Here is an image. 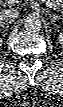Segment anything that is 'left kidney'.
<instances>
[{"label":"left kidney","instance_id":"obj_1","mask_svg":"<svg viewBox=\"0 0 63 107\" xmlns=\"http://www.w3.org/2000/svg\"><path fill=\"white\" fill-rule=\"evenodd\" d=\"M58 40L60 44H63V34H59Z\"/></svg>","mask_w":63,"mask_h":107}]
</instances>
